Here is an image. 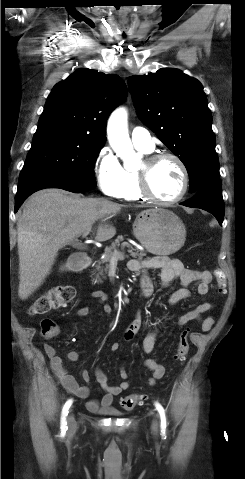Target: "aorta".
Returning a JSON list of instances; mask_svg holds the SVG:
<instances>
[{
  "label": "aorta",
  "mask_w": 245,
  "mask_h": 479,
  "mask_svg": "<svg viewBox=\"0 0 245 479\" xmlns=\"http://www.w3.org/2000/svg\"><path fill=\"white\" fill-rule=\"evenodd\" d=\"M107 136L112 149L120 157L126 169L132 161H138L128 134L127 111L124 108L116 109L110 116L107 125Z\"/></svg>",
  "instance_id": "762f6f07"
}]
</instances>
